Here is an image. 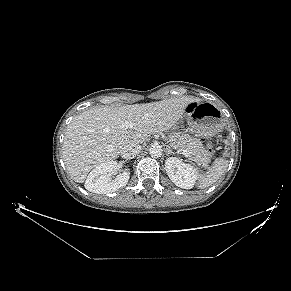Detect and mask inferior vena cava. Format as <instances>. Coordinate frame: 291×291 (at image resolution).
<instances>
[{
	"instance_id": "602c4592",
	"label": "inferior vena cava",
	"mask_w": 291,
	"mask_h": 291,
	"mask_svg": "<svg viewBox=\"0 0 291 291\" xmlns=\"http://www.w3.org/2000/svg\"><path fill=\"white\" fill-rule=\"evenodd\" d=\"M140 144H127L121 150V156L124 159L130 160L136 157L141 152Z\"/></svg>"
}]
</instances>
